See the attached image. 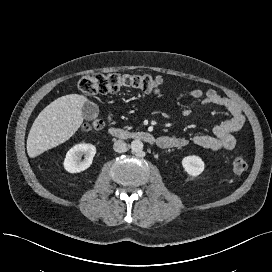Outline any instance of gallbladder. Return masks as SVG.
<instances>
[{
    "instance_id": "gallbladder-1",
    "label": "gallbladder",
    "mask_w": 272,
    "mask_h": 272,
    "mask_svg": "<svg viewBox=\"0 0 272 272\" xmlns=\"http://www.w3.org/2000/svg\"><path fill=\"white\" fill-rule=\"evenodd\" d=\"M99 113V108L97 104L91 102V101H86L83 105L82 108V117L85 120H93L97 117V114Z\"/></svg>"
}]
</instances>
